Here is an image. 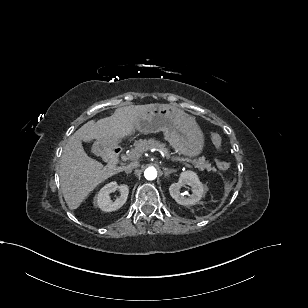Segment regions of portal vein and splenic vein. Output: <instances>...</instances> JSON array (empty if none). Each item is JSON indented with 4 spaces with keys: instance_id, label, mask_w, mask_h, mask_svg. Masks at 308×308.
<instances>
[{
    "instance_id": "portal-vein-and-splenic-vein-1",
    "label": "portal vein and splenic vein",
    "mask_w": 308,
    "mask_h": 308,
    "mask_svg": "<svg viewBox=\"0 0 308 308\" xmlns=\"http://www.w3.org/2000/svg\"><path fill=\"white\" fill-rule=\"evenodd\" d=\"M160 153H161V155L162 156H165L167 159H171V160H179V161H181V162H183L184 160H181V159H175V158H173V157H170L169 155H167V154H165L163 151H160Z\"/></svg>"
}]
</instances>
